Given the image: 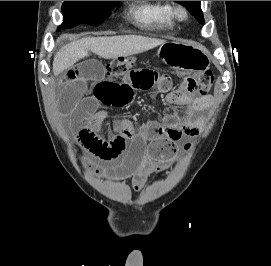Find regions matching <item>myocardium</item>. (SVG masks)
Here are the masks:
<instances>
[{
    "instance_id": "1",
    "label": "myocardium",
    "mask_w": 271,
    "mask_h": 266,
    "mask_svg": "<svg viewBox=\"0 0 271 266\" xmlns=\"http://www.w3.org/2000/svg\"><path fill=\"white\" fill-rule=\"evenodd\" d=\"M173 14L174 17L179 21H185L188 19L189 16L188 9L182 4H178L173 7Z\"/></svg>"
}]
</instances>
